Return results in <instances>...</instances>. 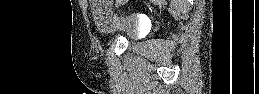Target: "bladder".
I'll return each mask as SVG.
<instances>
[{
  "label": "bladder",
  "mask_w": 259,
  "mask_h": 94,
  "mask_svg": "<svg viewBox=\"0 0 259 94\" xmlns=\"http://www.w3.org/2000/svg\"><path fill=\"white\" fill-rule=\"evenodd\" d=\"M91 13L95 25L105 35H122L128 40H134L139 36V21L133 16H118L106 2L93 4Z\"/></svg>",
  "instance_id": "obj_1"
}]
</instances>
